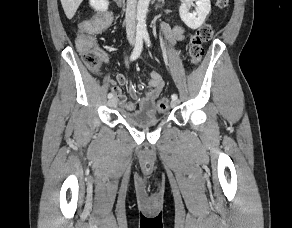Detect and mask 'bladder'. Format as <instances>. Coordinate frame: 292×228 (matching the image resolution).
<instances>
[{"mask_svg": "<svg viewBox=\"0 0 292 228\" xmlns=\"http://www.w3.org/2000/svg\"><path fill=\"white\" fill-rule=\"evenodd\" d=\"M124 118L129 124L140 128L155 126L160 122L155 114H126Z\"/></svg>", "mask_w": 292, "mask_h": 228, "instance_id": "obj_1", "label": "bladder"}]
</instances>
